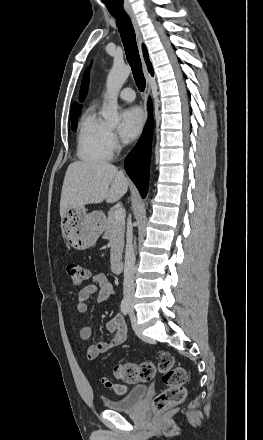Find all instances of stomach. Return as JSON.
I'll list each match as a JSON object with an SVG mask.
<instances>
[{
	"label": "stomach",
	"mask_w": 263,
	"mask_h": 440,
	"mask_svg": "<svg viewBox=\"0 0 263 440\" xmlns=\"http://www.w3.org/2000/svg\"><path fill=\"white\" fill-rule=\"evenodd\" d=\"M104 224L99 212L87 213L84 206L71 207L61 217L63 236L77 250L94 245L104 230Z\"/></svg>",
	"instance_id": "0dacf381"
}]
</instances>
